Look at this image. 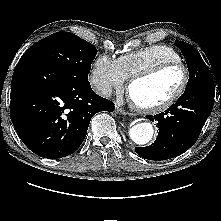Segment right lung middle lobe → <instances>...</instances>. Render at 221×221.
Instances as JSON below:
<instances>
[{
    "label": "right lung middle lobe",
    "mask_w": 221,
    "mask_h": 221,
    "mask_svg": "<svg viewBox=\"0 0 221 221\" xmlns=\"http://www.w3.org/2000/svg\"><path fill=\"white\" fill-rule=\"evenodd\" d=\"M97 49L70 32L54 33L31 46L22 57L56 66L71 76L88 80Z\"/></svg>",
    "instance_id": "dd1d6c3e"
}]
</instances>
